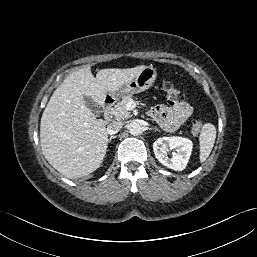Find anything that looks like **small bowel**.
I'll list each match as a JSON object with an SVG mask.
<instances>
[{"label": "small bowel", "instance_id": "1", "mask_svg": "<svg viewBox=\"0 0 257 257\" xmlns=\"http://www.w3.org/2000/svg\"><path fill=\"white\" fill-rule=\"evenodd\" d=\"M150 112L166 131H174L188 120L192 107L189 103L182 101L170 106L157 105Z\"/></svg>", "mask_w": 257, "mask_h": 257}]
</instances>
